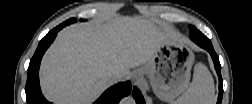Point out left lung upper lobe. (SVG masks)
Listing matches in <instances>:
<instances>
[{
  "mask_svg": "<svg viewBox=\"0 0 252 104\" xmlns=\"http://www.w3.org/2000/svg\"><path fill=\"white\" fill-rule=\"evenodd\" d=\"M189 29H190V34H192L194 31L197 30L194 26H189Z\"/></svg>",
  "mask_w": 252,
  "mask_h": 104,
  "instance_id": "1",
  "label": "left lung upper lobe"
}]
</instances>
